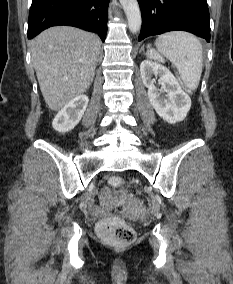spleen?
<instances>
[{
	"mask_svg": "<svg viewBox=\"0 0 233 284\" xmlns=\"http://www.w3.org/2000/svg\"><path fill=\"white\" fill-rule=\"evenodd\" d=\"M156 50L148 51V57L169 59L177 68L180 77L189 90H196L203 67V49L197 37L190 33L174 31L158 36Z\"/></svg>",
	"mask_w": 233,
	"mask_h": 284,
	"instance_id": "1",
	"label": "spleen"
}]
</instances>
